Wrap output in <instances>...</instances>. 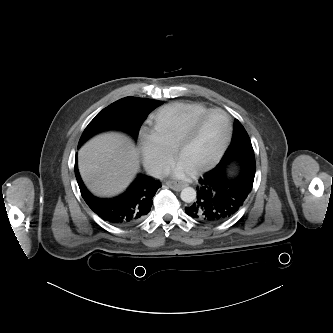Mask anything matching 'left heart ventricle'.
<instances>
[{
    "instance_id": "obj_1",
    "label": "left heart ventricle",
    "mask_w": 333,
    "mask_h": 333,
    "mask_svg": "<svg viewBox=\"0 0 333 333\" xmlns=\"http://www.w3.org/2000/svg\"><path fill=\"white\" fill-rule=\"evenodd\" d=\"M228 129L221 113H213L198 126L193 137L178 155V160L194 170L210 162L218 152Z\"/></svg>"
}]
</instances>
